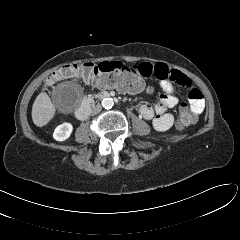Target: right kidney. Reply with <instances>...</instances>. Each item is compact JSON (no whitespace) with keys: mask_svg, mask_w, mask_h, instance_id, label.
Returning <instances> with one entry per match:
<instances>
[{"mask_svg":"<svg viewBox=\"0 0 240 240\" xmlns=\"http://www.w3.org/2000/svg\"><path fill=\"white\" fill-rule=\"evenodd\" d=\"M73 131V126L70 123H63L57 126L53 133V138L57 141H65Z\"/></svg>","mask_w":240,"mask_h":240,"instance_id":"right-kidney-1","label":"right kidney"}]
</instances>
